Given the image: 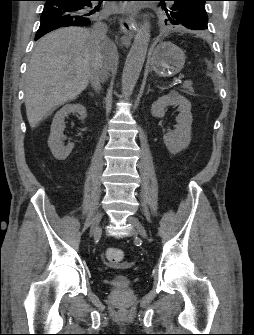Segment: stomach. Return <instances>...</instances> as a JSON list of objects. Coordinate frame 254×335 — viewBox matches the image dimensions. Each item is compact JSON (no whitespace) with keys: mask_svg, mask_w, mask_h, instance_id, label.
Masks as SVG:
<instances>
[{"mask_svg":"<svg viewBox=\"0 0 254 335\" xmlns=\"http://www.w3.org/2000/svg\"><path fill=\"white\" fill-rule=\"evenodd\" d=\"M185 59L183 50L171 42H160L150 55L151 68L160 77H169L180 72Z\"/></svg>","mask_w":254,"mask_h":335,"instance_id":"1","label":"stomach"}]
</instances>
